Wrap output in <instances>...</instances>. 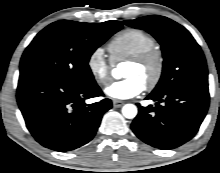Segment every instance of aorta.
<instances>
[{"instance_id": "1", "label": "aorta", "mask_w": 220, "mask_h": 173, "mask_svg": "<svg viewBox=\"0 0 220 173\" xmlns=\"http://www.w3.org/2000/svg\"><path fill=\"white\" fill-rule=\"evenodd\" d=\"M112 75H113V77H115L117 79L120 78L122 75L120 68L113 69ZM122 114L125 118L133 119L137 115V107L133 104H126L122 108Z\"/></svg>"}]
</instances>
